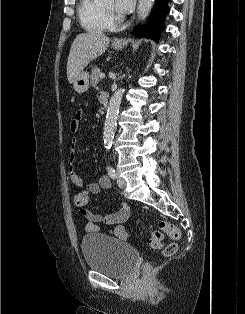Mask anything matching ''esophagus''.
<instances>
[{"mask_svg": "<svg viewBox=\"0 0 245 314\" xmlns=\"http://www.w3.org/2000/svg\"><path fill=\"white\" fill-rule=\"evenodd\" d=\"M122 41L120 39H114L113 43H121Z\"/></svg>", "mask_w": 245, "mask_h": 314, "instance_id": "1", "label": "esophagus"}]
</instances>
